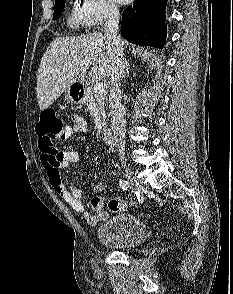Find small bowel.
<instances>
[{
  "mask_svg": "<svg viewBox=\"0 0 233 294\" xmlns=\"http://www.w3.org/2000/svg\"><path fill=\"white\" fill-rule=\"evenodd\" d=\"M71 119L73 125H68L64 127L61 140H68L74 133H84L87 130V122L81 115L73 114L71 116ZM40 158L43 169L46 172L48 181L52 188L62 197V199L67 204H69V206L75 212L82 214L88 224L96 225L101 220L107 218L108 214L103 209V197H93L89 202V206L93 210V212H88L85 210L82 202V191L74 187L67 188L62 182L60 170L79 161L80 156L77 151H74L72 149H63L62 151L57 150V156H50L41 151ZM105 188V182H98L95 185L94 190L96 192H102L105 190ZM117 200L120 201L125 207V203L122 200Z\"/></svg>",
  "mask_w": 233,
  "mask_h": 294,
  "instance_id": "obj_1",
  "label": "small bowel"
}]
</instances>
